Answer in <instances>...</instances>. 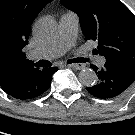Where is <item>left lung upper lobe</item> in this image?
<instances>
[{"mask_svg": "<svg viewBox=\"0 0 135 135\" xmlns=\"http://www.w3.org/2000/svg\"><path fill=\"white\" fill-rule=\"evenodd\" d=\"M75 12L88 39L98 42L96 53L110 65L135 76V16L119 0H60Z\"/></svg>", "mask_w": 135, "mask_h": 135, "instance_id": "5c2ea615", "label": "left lung upper lobe"}]
</instances>
